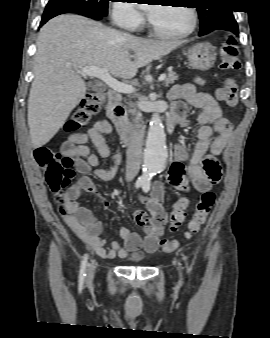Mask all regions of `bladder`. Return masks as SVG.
<instances>
[{"instance_id": "obj_1", "label": "bladder", "mask_w": 270, "mask_h": 338, "mask_svg": "<svg viewBox=\"0 0 270 338\" xmlns=\"http://www.w3.org/2000/svg\"><path fill=\"white\" fill-rule=\"evenodd\" d=\"M144 259H145V257L143 255H139V254L130 256L128 258V260L135 261V262H138V263L144 261Z\"/></svg>"}]
</instances>
